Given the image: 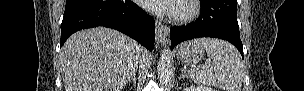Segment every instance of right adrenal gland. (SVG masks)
I'll use <instances>...</instances> for the list:
<instances>
[{"mask_svg": "<svg viewBox=\"0 0 304 91\" xmlns=\"http://www.w3.org/2000/svg\"><path fill=\"white\" fill-rule=\"evenodd\" d=\"M131 82H133L134 84H136V73L133 74L132 78L129 80L128 84H130Z\"/></svg>", "mask_w": 304, "mask_h": 91, "instance_id": "1", "label": "right adrenal gland"}]
</instances>
